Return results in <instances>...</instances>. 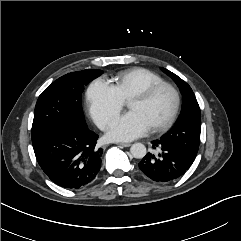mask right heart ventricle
Masks as SVG:
<instances>
[{"mask_svg":"<svg viewBox=\"0 0 241 241\" xmlns=\"http://www.w3.org/2000/svg\"><path fill=\"white\" fill-rule=\"evenodd\" d=\"M113 81V86L122 100L129 101L133 95L146 87L163 82V78L145 68H132L118 73Z\"/></svg>","mask_w":241,"mask_h":241,"instance_id":"right-heart-ventricle-1","label":"right heart ventricle"}]
</instances>
